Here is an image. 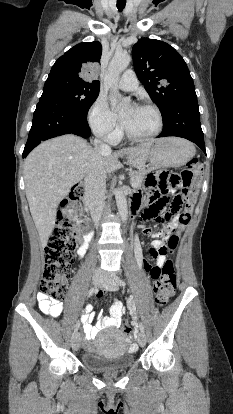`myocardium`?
<instances>
[{
  "label": "myocardium",
  "mask_w": 233,
  "mask_h": 414,
  "mask_svg": "<svg viewBox=\"0 0 233 414\" xmlns=\"http://www.w3.org/2000/svg\"><path fill=\"white\" fill-rule=\"evenodd\" d=\"M139 106L143 107V108L151 109L155 112V114L157 115V118H158V127H157V129L153 133H151L149 135H146V136L135 135L131 131L128 130V128L125 126V124L123 123V121L121 119L120 120L121 131L127 138H129L130 140H133V141H137V142H143V141H148V140L154 139L163 130V127H164L163 114H162L161 110L159 109V107L156 106L155 104L146 102V103L140 104Z\"/></svg>",
  "instance_id": "f54148a6"
}]
</instances>
